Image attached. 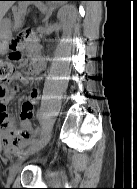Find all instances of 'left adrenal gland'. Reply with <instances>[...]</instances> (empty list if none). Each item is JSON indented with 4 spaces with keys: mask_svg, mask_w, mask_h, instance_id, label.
Wrapping results in <instances>:
<instances>
[{
    "mask_svg": "<svg viewBox=\"0 0 137 189\" xmlns=\"http://www.w3.org/2000/svg\"><path fill=\"white\" fill-rule=\"evenodd\" d=\"M55 8H56V6L50 7V8L48 9V13L46 14V17H45V19H44V21L46 22V24L48 23V19L51 17L52 12L54 11Z\"/></svg>",
    "mask_w": 137,
    "mask_h": 189,
    "instance_id": "left-adrenal-gland-1",
    "label": "left adrenal gland"
}]
</instances>
